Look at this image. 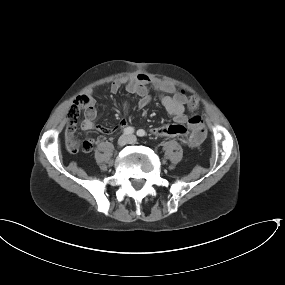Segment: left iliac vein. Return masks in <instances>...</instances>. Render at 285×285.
Instances as JSON below:
<instances>
[{
  "instance_id": "4c4485c4",
  "label": "left iliac vein",
  "mask_w": 285,
  "mask_h": 285,
  "mask_svg": "<svg viewBox=\"0 0 285 285\" xmlns=\"http://www.w3.org/2000/svg\"><path fill=\"white\" fill-rule=\"evenodd\" d=\"M136 142L135 136H129V143L133 144Z\"/></svg>"
}]
</instances>
